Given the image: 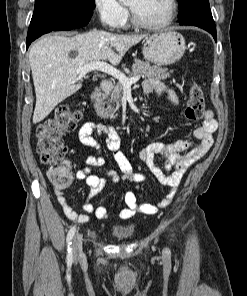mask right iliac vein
<instances>
[{
	"label": "right iliac vein",
	"instance_id": "right-iliac-vein-1",
	"mask_svg": "<svg viewBox=\"0 0 247 296\" xmlns=\"http://www.w3.org/2000/svg\"><path fill=\"white\" fill-rule=\"evenodd\" d=\"M73 253L75 258H80L83 255L82 240L80 235H75L72 241Z\"/></svg>",
	"mask_w": 247,
	"mask_h": 296
}]
</instances>
